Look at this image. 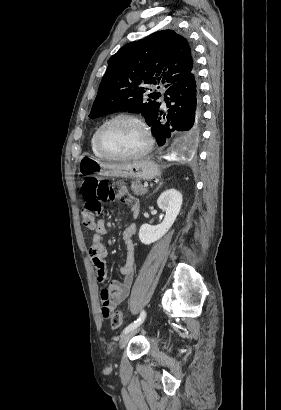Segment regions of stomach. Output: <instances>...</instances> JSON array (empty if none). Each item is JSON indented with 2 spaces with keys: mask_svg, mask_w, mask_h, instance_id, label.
<instances>
[{
  "mask_svg": "<svg viewBox=\"0 0 281 410\" xmlns=\"http://www.w3.org/2000/svg\"><path fill=\"white\" fill-rule=\"evenodd\" d=\"M78 171L81 175L94 173L101 176L135 178L149 180L160 175L159 166L148 159L132 162L110 164L104 163L95 157L82 155L78 163Z\"/></svg>",
  "mask_w": 281,
  "mask_h": 410,
  "instance_id": "0dacf381",
  "label": "stomach"
}]
</instances>
